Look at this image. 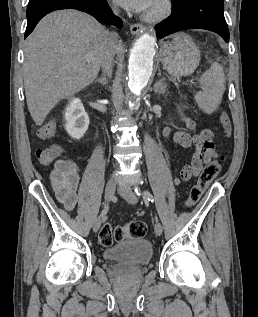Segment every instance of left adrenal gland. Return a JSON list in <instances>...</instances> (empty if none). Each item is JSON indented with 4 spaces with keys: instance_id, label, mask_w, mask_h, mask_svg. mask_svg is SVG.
<instances>
[{
    "instance_id": "a2214340",
    "label": "left adrenal gland",
    "mask_w": 258,
    "mask_h": 317,
    "mask_svg": "<svg viewBox=\"0 0 258 317\" xmlns=\"http://www.w3.org/2000/svg\"><path fill=\"white\" fill-rule=\"evenodd\" d=\"M163 80H165V78H161V80H157V82L153 84L154 92H158V94H162V92H165L167 84H165Z\"/></svg>"
}]
</instances>
